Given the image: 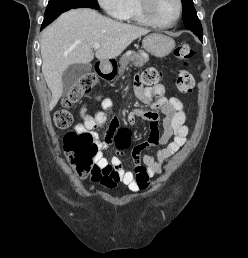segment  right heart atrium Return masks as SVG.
<instances>
[{
  "label": "right heart atrium",
  "instance_id": "right-heart-atrium-1",
  "mask_svg": "<svg viewBox=\"0 0 248 258\" xmlns=\"http://www.w3.org/2000/svg\"><path fill=\"white\" fill-rule=\"evenodd\" d=\"M105 12L117 19H121L126 12L128 0H97Z\"/></svg>",
  "mask_w": 248,
  "mask_h": 258
}]
</instances>
